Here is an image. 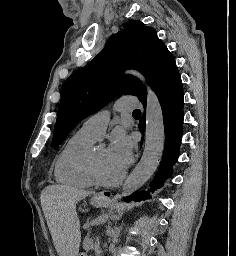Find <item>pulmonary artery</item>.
Instances as JSON below:
<instances>
[{"label": "pulmonary artery", "instance_id": "1", "mask_svg": "<svg viewBox=\"0 0 236 256\" xmlns=\"http://www.w3.org/2000/svg\"><path fill=\"white\" fill-rule=\"evenodd\" d=\"M118 100L121 101V104L117 105L118 112H124L126 109H138V106L141 105L140 101H136V96H119ZM109 118L110 112L108 110H100L83 122L80 131L94 139H98L103 135Z\"/></svg>", "mask_w": 236, "mask_h": 256}]
</instances>
